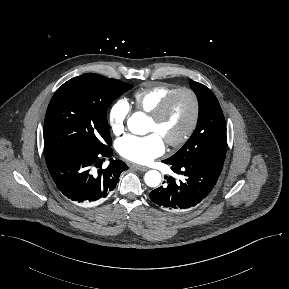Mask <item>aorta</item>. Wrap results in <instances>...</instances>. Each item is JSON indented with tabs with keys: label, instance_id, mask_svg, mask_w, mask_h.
Returning <instances> with one entry per match:
<instances>
[{
	"label": "aorta",
	"instance_id": "1",
	"mask_svg": "<svg viewBox=\"0 0 289 289\" xmlns=\"http://www.w3.org/2000/svg\"><path fill=\"white\" fill-rule=\"evenodd\" d=\"M143 115L141 113H135L129 120V129L134 131V126L139 128L142 123ZM145 183L149 187H157L161 182V174L156 170H150L145 174Z\"/></svg>",
	"mask_w": 289,
	"mask_h": 289
}]
</instances>
